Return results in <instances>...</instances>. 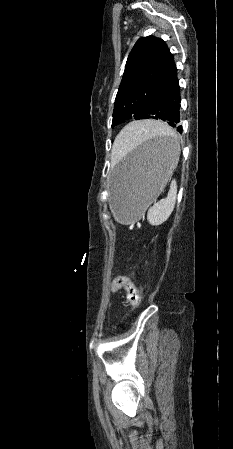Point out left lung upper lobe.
<instances>
[{"instance_id":"obj_1","label":"left lung upper lobe","mask_w":233,"mask_h":449,"mask_svg":"<svg viewBox=\"0 0 233 449\" xmlns=\"http://www.w3.org/2000/svg\"><path fill=\"white\" fill-rule=\"evenodd\" d=\"M176 71L173 55L162 39L140 38L126 62L112 127L130 118L144 119L150 103Z\"/></svg>"}]
</instances>
